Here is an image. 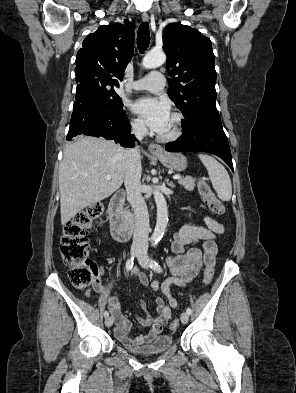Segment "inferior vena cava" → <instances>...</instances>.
I'll use <instances>...</instances> for the list:
<instances>
[{"label": "inferior vena cava", "instance_id": "602c4592", "mask_svg": "<svg viewBox=\"0 0 296 393\" xmlns=\"http://www.w3.org/2000/svg\"><path fill=\"white\" fill-rule=\"evenodd\" d=\"M132 133L138 140H142L147 133L146 126L141 123L132 124ZM123 165L125 168V188L127 200L129 201L135 216V230L133 236V246L148 248L149 236V215L147 205L141 194V161L139 147L126 149L123 155Z\"/></svg>", "mask_w": 296, "mask_h": 393}]
</instances>
